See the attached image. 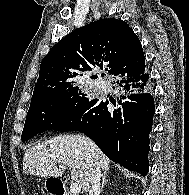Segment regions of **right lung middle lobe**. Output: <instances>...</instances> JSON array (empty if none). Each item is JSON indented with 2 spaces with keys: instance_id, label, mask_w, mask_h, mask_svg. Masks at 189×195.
Here are the masks:
<instances>
[{
  "instance_id": "1",
  "label": "right lung middle lobe",
  "mask_w": 189,
  "mask_h": 195,
  "mask_svg": "<svg viewBox=\"0 0 189 195\" xmlns=\"http://www.w3.org/2000/svg\"><path fill=\"white\" fill-rule=\"evenodd\" d=\"M78 90V87H70L31 102L21 140L27 141L56 128L91 101Z\"/></svg>"
}]
</instances>
